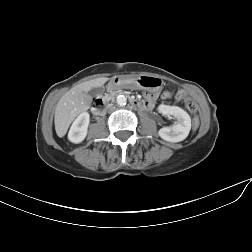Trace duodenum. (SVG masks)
<instances>
[{
	"instance_id": "obj_1",
	"label": "duodenum",
	"mask_w": 252,
	"mask_h": 252,
	"mask_svg": "<svg viewBox=\"0 0 252 252\" xmlns=\"http://www.w3.org/2000/svg\"><path fill=\"white\" fill-rule=\"evenodd\" d=\"M109 88L111 91H113L115 88H116V83L115 82H111L109 84ZM110 100V96H106V97H103V98H100L96 101L95 105H94V108H93V112L96 114V115H99L103 112L105 106L107 105V103L109 102ZM130 103L133 107L135 108H138V109H144V103L142 102H139V101H136L134 99H131L130 100Z\"/></svg>"
}]
</instances>
